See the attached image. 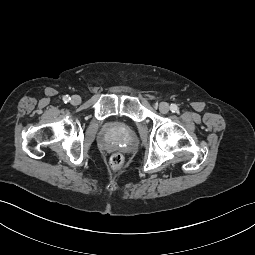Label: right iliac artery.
<instances>
[{"mask_svg":"<svg viewBox=\"0 0 255 255\" xmlns=\"http://www.w3.org/2000/svg\"><path fill=\"white\" fill-rule=\"evenodd\" d=\"M70 99H71V98H70L68 95H65V96L63 97V101H64L65 103L69 102Z\"/></svg>","mask_w":255,"mask_h":255,"instance_id":"obj_1","label":"right iliac artery"}]
</instances>
